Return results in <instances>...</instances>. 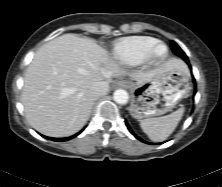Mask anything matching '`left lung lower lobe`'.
I'll use <instances>...</instances> for the list:
<instances>
[{"instance_id":"1","label":"left lung lower lobe","mask_w":222,"mask_h":187,"mask_svg":"<svg viewBox=\"0 0 222 187\" xmlns=\"http://www.w3.org/2000/svg\"><path fill=\"white\" fill-rule=\"evenodd\" d=\"M182 59H183V60L189 65V67L191 68V66H190V64H189L188 58L185 57V58H182ZM126 126L128 127V130L130 131V133H132L138 140H140V141H142V142H144V143H147V144H152V143L146 142V141L142 140L140 137L136 136V135L134 134V132L131 130V128H130V126L128 125L127 122H126ZM156 144H162V143H156Z\"/></svg>"}]
</instances>
